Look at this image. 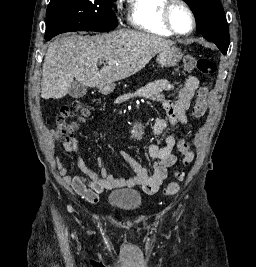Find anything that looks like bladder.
Listing matches in <instances>:
<instances>
[{
  "label": "bladder",
  "instance_id": "1",
  "mask_svg": "<svg viewBox=\"0 0 256 267\" xmlns=\"http://www.w3.org/2000/svg\"><path fill=\"white\" fill-rule=\"evenodd\" d=\"M108 203L110 206L128 213L139 208L141 198L138 191L117 190L108 195Z\"/></svg>",
  "mask_w": 256,
  "mask_h": 267
}]
</instances>
